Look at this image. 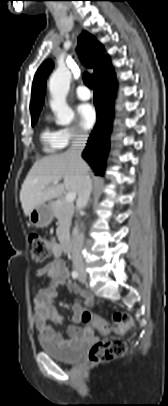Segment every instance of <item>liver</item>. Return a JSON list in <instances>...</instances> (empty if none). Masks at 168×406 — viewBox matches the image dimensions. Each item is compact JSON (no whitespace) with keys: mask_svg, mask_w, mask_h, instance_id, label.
I'll return each mask as SVG.
<instances>
[{"mask_svg":"<svg viewBox=\"0 0 168 406\" xmlns=\"http://www.w3.org/2000/svg\"><path fill=\"white\" fill-rule=\"evenodd\" d=\"M83 171H89L88 165L85 162L80 165L67 151L36 161L20 191V201L25 216H29L38 205L61 196L65 190L79 194ZM61 179L64 180L63 183L53 184Z\"/></svg>","mask_w":168,"mask_h":406,"instance_id":"obj_1","label":"liver"}]
</instances>
